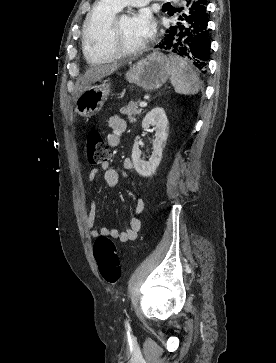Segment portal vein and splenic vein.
<instances>
[{
  "label": "portal vein and splenic vein",
  "instance_id": "portal-vein-and-splenic-vein-1",
  "mask_svg": "<svg viewBox=\"0 0 276 363\" xmlns=\"http://www.w3.org/2000/svg\"><path fill=\"white\" fill-rule=\"evenodd\" d=\"M139 106H140V107H146V106H147V103H146V102H144V101H143V102H140Z\"/></svg>",
  "mask_w": 276,
  "mask_h": 363
}]
</instances>
